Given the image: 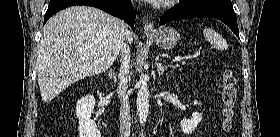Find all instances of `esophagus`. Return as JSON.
<instances>
[{
	"label": "esophagus",
	"mask_w": 280,
	"mask_h": 137,
	"mask_svg": "<svg viewBox=\"0 0 280 137\" xmlns=\"http://www.w3.org/2000/svg\"><path fill=\"white\" fill-rule=\"evenodd\" d=\"M156 32V28L152 22H146L144 25L145 34H153Z\"/></svg>",
	"instance_id": "esophagus-1"
}]
</instances>
